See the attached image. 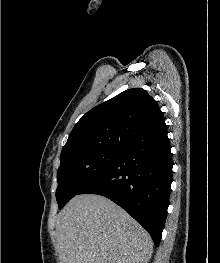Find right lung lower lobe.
Returning <instances> with one entry per match:
<instances>
[{"label":"right lung lower lobe","instance_id":"98d812e1","mask_svg":"<svg viewBox=\"0 0 220 263\" xmlns=\"http://www.w3.org/2000/svg\"><path fill=\"white\" fill-rule=\"evenodd\" d=\"M170 148L167 132L157 138L137 140L78 194L109 198L139 222L159 246L172 182Z\"/></svg>","mask_w":220,"mask_h":263}]
</instances>
